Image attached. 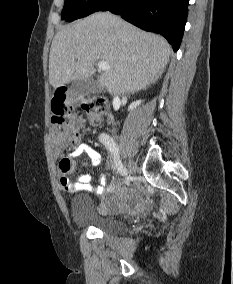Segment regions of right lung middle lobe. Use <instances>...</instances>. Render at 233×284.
I'll list each match as a JSON object with an SVG mask.
<instances>
[{
    "label": "right lung middle lobe",
    "instance_id": "dd1d6c3e",
    "mask_svg": "<svg viewBox=\"0 0 233 284\" xmlns=\"http://www.w3.org/2000/svg\"><path fill=\"white\" fill-rule=\"evenodd\" d=\"M107 0H65L61 19L71 22L96 12Z\"/></svg>",
    "mask_w": 233,
    "mask_h": 284
}]
</instances>
